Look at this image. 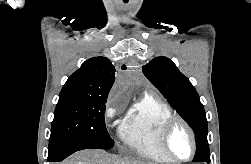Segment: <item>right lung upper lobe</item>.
Returning a JSON list of instances; mask_svg holds the SVG:
<instances>
[{"instance_id":"1","label":"right lung upper lobe","mask_w":251,"mask_h":164,"mask_svg":"<svg viewBox=\"0 0 251 164\" xmlns=\"http://www.w3.org/2000/svg\"><path fill=\"white\" fill-rule=\"evenodd\" d=\"M115 81V68L106 57L85 61L63 86L60 96L107 99Z\"/></svg>"}]
</instances>
